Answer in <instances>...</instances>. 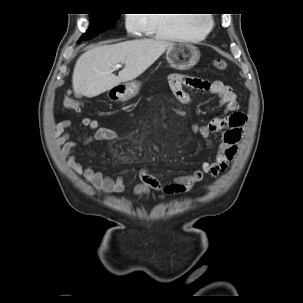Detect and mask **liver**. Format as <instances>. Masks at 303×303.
Wrapping results in <instances>:
<instances>
[{"instance_id":"1","label":"liver","mask_w":303,"mask_h":303,"mask_svg":"<svg viewBox=\"0 0 303 303\" xmlns=\"http://www.w3.org/2000/svg\"><path fill=\"white\" fill-rule=\"evenodd\" d=\"M171 44L163 39H137L93 47L83 53L75 64L72 76L75 95L92 98L122 82L135 79ZM118 63H123L124 68L116 76L112 69Z\"/></svg>"}]
</instances>
